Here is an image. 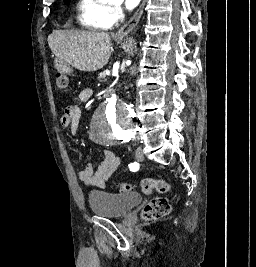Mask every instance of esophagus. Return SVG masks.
Segmentation results:
<instances>
[{
    "label": "esophagus",
    "instance_id": "34e87169",
    "mask_svg": "<svg viewBox=\"0 0 256 267\" xmlns=\"http://www.w3.org/2000/svg\"><path fill=\"white\" fill-rule=\"evenodd\" d=\"M145 2L146 0H142L141 5L137 9V11L134 13L133 17L130 18V20L118 30V32L116 33L117 37L127 35L128 33L132 32V30L136 27L143 13Z\"/></svg>",
    "mask_w": 256,
    "mask_h": 267
}]
</instances>
